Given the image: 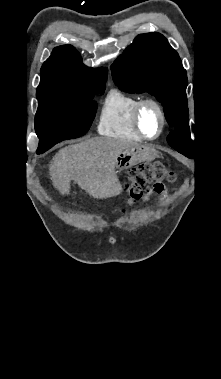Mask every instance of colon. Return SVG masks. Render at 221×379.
I'll return each instance as SVG.
<instances>
[{
	"instance_id": "colon-1",
	"label": "colon",
	"mask_w": 221,
	"mask_h": 379,
	"mask_svg": "<svg viewBox=\"0 0 221 379\" xmlns=\"http://www.w3.org/2000/svg\"><path fill=\"white\" fill-rule=\"evenodd\" d=\"M175 173L160 162L142 163L128 171L126 205L131 206L150 191L162 193L163 183L174 182Z\"/></svg>"
}]
</instances>
